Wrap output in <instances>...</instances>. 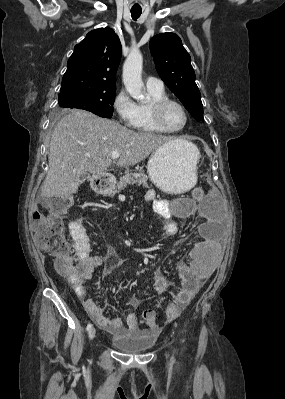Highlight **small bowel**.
<instances>
[{
	"mask_svg": "<svg viewBox=\"0 0 285 399\" xmlns=\"http://www.w3.org/2000/svg\"><path fill=\"white\" fill-rule=\"evenodd\" d=\"M144 200L147 203H152L154 211L163 219V233L168 238L174 237L179 231L178 224L174 220L175 216L188 218L192 215L191 212H180L177 215H173L169 209L168 202L165 199L156 198L153 190L146 192ZM197 212L203 218V226L199 231V241L192 245L189 253V261H180L175 266L182 288L173 296L171 304L180 307H184L190 302L196 291L211 275L219 258V246L213 239L216 223L212 218L211 208L200 206ZM81 226V223L78 221H70L68 224L69 235L77 247L81 238L79 233ZM102 262V259L97 256H82L80 254L77 256L75 263L80 270V277L75 280L74 286L80 296L84 295V283L91 279L95 269ZM152 280L154 291L157 295L165 293L171 283L170 277L161 272L155 273L152 276ZM84 305L93 321L101 329L110 334L120 335L126 332H134L138 329L135 312H130L126 316L125 327L121 317L106 316L95 301L86 299ZM137 305L138 300L136 299L130 302L132 308H135ZM168 319L172 320L171 318Z\"/></svg>",
	"mask_w": 285,
	"mask_h": 399,
	"instance_id": "c3829d8e",
	"label": "small bowel"
}]
</instances>
